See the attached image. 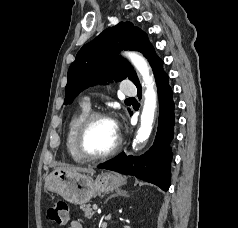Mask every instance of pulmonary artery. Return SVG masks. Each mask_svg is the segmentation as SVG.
<instances>
[{
  "mask_svg": "<svg viewBox=\"0 0 238 228\" xmlns=\"http://www.w3.org/2000/svg\"><path fill=\"white\" fill-rule=\"evenodd\" d=\"M121 90H122V93L127 96L135 95L137 92L135 85L130 80L123 81ZM84 104L89 106L88 99H85Z\"/></svg>",
  "mask_w": 238,
  "mask_h": 228,
  "instance_id": "obj_1",
  "label": "pulmonary artery"
}]
</instances>
